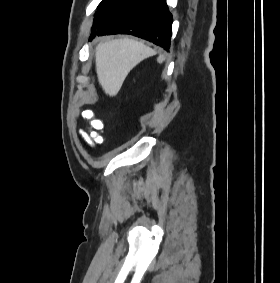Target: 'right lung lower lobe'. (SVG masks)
Returning a JSON list of instances; mask_svg holds the SVG:
<instances>
[{
    "instance_id": "obj_1",
    "label": "right lung lower lobe",
    "mask_w": 280,
    "mask_h": 283,
    "mask_svg": "<svg viewBox=\"0 0 280 283\" xmlns=\"http://www.w3.org/2000/svg\"><path fill=\"white\" fill-rule=\"evenodd\" d=\"M118 33L131 34L169 49L172 15L166 0H140L111 17L93 32L94 37Z\"/></svg>"
}]
</instances>
